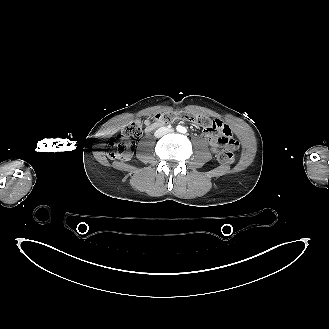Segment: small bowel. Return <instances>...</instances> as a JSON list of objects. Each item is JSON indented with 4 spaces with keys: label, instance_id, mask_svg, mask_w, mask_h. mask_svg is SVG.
<instances>
[{
    "label": "small bowel",
    "instance_id": "c3829d8e",
    "mask_svg": "<svg viewBox=\"0 0 329 329\" xmlns=\"http://www.w3.org/2000/svg\"><path fill=\"white\" fill-rule=\"evenodd\" d=\"M212 125H215V122H212ZM221 126L223 129L222 136L226 135L229 138H232V133H231L230 127L223 123H221ZM221 126H218V133H221ZM157 127H158V125L155 123H148L146 131L151 132V131L155 130ZM204 136L209 140L211 150L214 153H217V150L219 148V143L221 142L220 139L222 136H219L218 134L215 133V131H211V130H204Z\"/></svg>",
    "mask_w": 329,
    "mask_h": 329
}]
</instances>
